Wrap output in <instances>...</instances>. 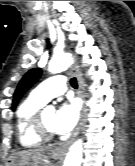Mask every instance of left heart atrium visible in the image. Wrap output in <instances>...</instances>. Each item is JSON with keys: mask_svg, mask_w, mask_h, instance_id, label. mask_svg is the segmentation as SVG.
Segmentation results:
<instances>
[{"mask_svg": "<svg viewBox=\"0 0 135 166\" xmlns=\"http://www.w3.org/2000/svg\"><path fill=\"white\" fill-rule=\"evenodd\" d=\"M78 117V103L75 100L64 102L55 113L53 132L59 135L69 134L76 126Z\"/></svg>", "mask_w": 135, "mask_h": 166, "instance_id": "1", "label": "left heart atrium"}]
</instances>
